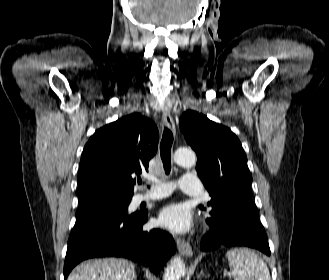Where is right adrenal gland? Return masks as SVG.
<instances>
[{
    "label": "right adrenal gland",
    "mask_w": 329,
    "mask_h": 280,
    "mask_svg": "<svg viewBox=\"0 0 329 280\" xmlns=\"http://www.w3.org/2000/svg\"><path fill=\"white\" fill-rule=\"evenodd\" d=\"M134 280H137V277L135 276Z\"/></svg>",
    "instance_id": "2a0ac1e0"
}]
</instances>
